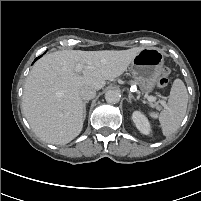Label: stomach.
I'll return each instance as SVG.
<instances>
[{"instance_id":"1","label":"stomach","mask_w":201,"mask_h":201,"mask_svg":"<svg viewBox=\"0 0 201 201\" xmlns=\"http://www.w3.org/2000/svg\"><path fill=\"white\" fill-rule=\"evenodd\" d=\"M164 65L163 53L156 48H143L131 61L135 82L146 93L151 92L160 78Z\"/></svg>"}]
</instances>
